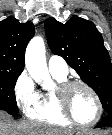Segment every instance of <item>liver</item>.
<instances>
[{
	"label": "liver",
	"instance_id": "6515ba94",
	"mask_svg": "<svg viewBox=\"0 0 112 135\" xmlns=\"http://www.w3.org/2000/svg\"><path fill=\"white\" fill-rule=\"evenodd\" d=\"M0 135H72V132L38 122H14L6 112L0 111Z\"/></svg>",
	"mask_w": 112,
	"mask_h": 135
}]
</instances>
